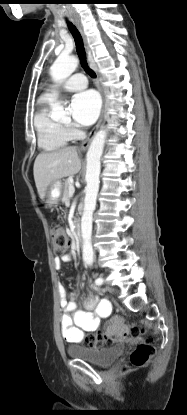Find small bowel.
I'll use <instances>...</instances> for the list:
<instances>
[{"label":"small bowel","mask_w":187,"mask_h":415,"mask_svg":"<svg viewBox=\"0 0 187 415\" xmlns=\"http://www.w3.org/2000/svg\"><path fill=\"white\" fill-rule=\"evenodd\" d=\"M72 259L70 254L62 255L54 260L57 269L63 263ZM60 292V306L63 310L61 318V333L68 343H82L86 333L95 331L103 318L111 314V303L107 299H100L97 295L90 293L84 300V310H78L75 301V293L66 292L62 287ZM117 318H112L110 323H115Z\"/></svg>","instance_id":"small-bowel-1"}]
</instances>
